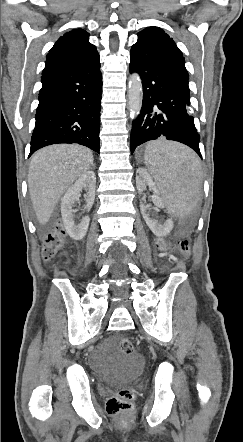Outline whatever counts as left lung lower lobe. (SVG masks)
Masks as SVG:
<instances>
[{"label":"left lung lower lobe","instance_id":"0a47b994","mask_svg":"<svg viewBox=\"0 0 243 442\" xmlns=\"http://www.w3.org/2000/svg\"><path fill=\"white\" fill-rule=\"evenodd\" d=\"M130 72H138L143 85L142 109L133 123L130 150L144 142L164 138L191 147L200 157V136L189 115L188 73L181 51L162 41L140 37L130 53Z\"/></svg>","mask_w":243,"mask_h":442}]
</instances>
